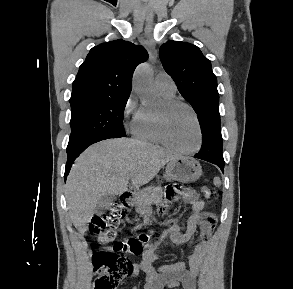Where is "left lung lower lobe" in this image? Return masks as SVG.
I'll use <instances>...</instances> for the list:
<instances>
[{
	"label": "left lung lower lobe",
	"instance_id": "left-lung-lower-lobe-1",
	"mask_svg": "<svg viewBox=\"0 0 293 289\" xmlns=\"http://www.w3.org/2000/svg\"><path fill=\"white\" fill-rule=\"evenodd\" d=\"M202 131V147L195 154V158H199L210 163L216 164L222 172H224V159L221 156L218 160L213 158L217 153L222 152V136L220 126H209Z\"/></svg>",
	"mask_w": 293,
	"mask_h": 289
}]
</instances>
